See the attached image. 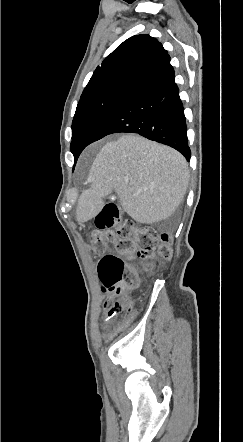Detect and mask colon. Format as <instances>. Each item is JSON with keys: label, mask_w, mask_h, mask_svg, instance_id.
<instances>
[{"label": "colon", "mask_w": 243, "mask_h": 442, "mask_svg": "<svg viewBox=\"0 0 243 442\" xmlns=\"http://www.w3.org/2000/svg\"><path fill=\"white\" fill-rule=\"evenodd\" d=\"M91 245L99 256L98 275L103 292L109 295L108 309L113 313V326L124 325L134 316L128 293L138 286L141 274L137 266L128 265L109 253V249L113 247L123 257L137 254L142 260H168L172 257L171 236L153 227L135 230L129 220L123 219L117 201L112 200L95 216Z\"/></svg>", "instance_id": "obj_1"}]
</instances>
